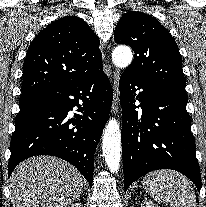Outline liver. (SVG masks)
I'll list each match as a JSON object with an SVG mask.
<instances>
[{
    "instance_id": "1",
    "label": "liver",
    "mask_w": 206,
    "mask_h": 207,
    "mask_svg": "<svg viewBox=\"0 0 206 207\" xmlns=\"http://www.w3.org/2000/svg\"><path fill=\"white\" fill-rule=\"evenodd\" d=\"M13 207H67L83 191L80 172L52 156H36L21 162L10 177Z\"/></svg>"
}]
</instances>
